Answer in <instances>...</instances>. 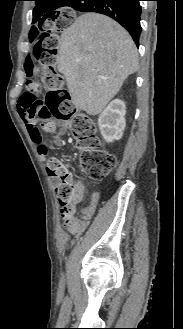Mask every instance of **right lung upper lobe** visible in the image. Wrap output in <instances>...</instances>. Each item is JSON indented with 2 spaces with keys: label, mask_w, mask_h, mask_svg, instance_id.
Returning <instances> with one entry per match:
<instances>
[{
  "label": "right lung upper lobe",
  "mask_w": 183,
  "mask_h": 329,
  "mask_svg": "<svg viewBox=\"0 0 183 329\" xmlns=\"http://www.w3.org/2000/svg\"><path fill=\"white\" fill-rule=\"evenodd\" d=\"M36 6L33 10V22H41L51 13H54L55 9L59 7H70V1L72 0H34ZM39 13V15H37Z\"/></svg>",
  "instance_id": "right-lung-upper-lobe-1"
}]
</instances>
